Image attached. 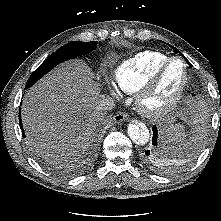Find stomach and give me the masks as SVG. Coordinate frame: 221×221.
Masks as SVG:
<instances>
[{
  "label": "stomach",
  "mask_w": 221,
  "mask_h": 221,
  "mask_svg": "<svg viewBox=\"0 0 221 221\" xmlns=\"http://www.w3.org/2000/svg\"><path fill=\"white\" fill-rule=\"evenodd\" d=\"M176 117H177V114L175 113L168 115L167 118L162 123V125L168 129L174 127L172 123L176 120Z\"/></svg>",
  "instance_id": "stomach-1"
}]
</instances>
